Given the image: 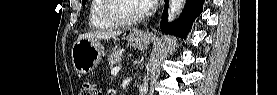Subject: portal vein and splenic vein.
I'll return each instance as SVG.
<instances>
[{
  "label": "portal vein and splenic vein",
  "mask_w": 277,
  "mask_h": 95,
  "mask_svg": "<svg viewBox=\"0 0 277 95\" xmlns=\"http://www.w3.org/2000/svg\"><path fill=\"white\" fill-rule=\"evenodd\" d=\"M121 70V67L120 66H116L115 68H113L112 70H111V74L112 75H116V74H118V72Z\"/></svg>",
  "instance_id": "18ae733b"
}]
</instances>
